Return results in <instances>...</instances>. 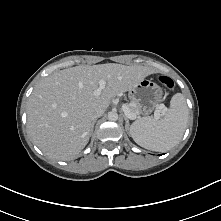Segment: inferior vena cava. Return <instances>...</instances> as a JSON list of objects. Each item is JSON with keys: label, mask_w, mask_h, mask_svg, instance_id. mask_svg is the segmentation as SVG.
Masks as SVG:
<instances>
[{"label": "inferior vena cava", "mask_w": 221, "mask_h": 221, "mask_svg": "<svg viewBox=\"0 0 221 221\" xmlns=\"http://www.w3.org/2000/svg\"><path fill=\"white\" fill-rule=\"evenodd\" d=\"M104 114V110L103 109H97L96 111H94V113L92 114V120H96V118L101 117Z\"/></svg>", "instance_id": "602c4592"}]
</instances>
